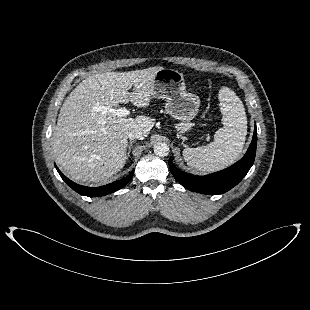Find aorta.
<instances>
[{"label": "aorta", "instance_id": "aorta-1", "mask_svg": "<svg viewBox=\"0 0 310 310\" xmlns=\"http://www.w3.org/2000/svg\"><path fill=\"white\" fill-rule=\"evenodd\" d=\"M154 153L157 156L164 157L169 154V146L166 143H157L154 145Z\"/></svg>", "mask_w": 310, "mask_h": 310}]
</instances>
